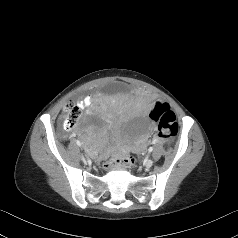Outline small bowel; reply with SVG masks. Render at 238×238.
Wrapping results in <instances>:
<instances>
[{"label": "small bowel", "mask_w": 238, "mask_h": 238, "mask_svg": "<svg viewBox=\"0 0 238 238\" xmlns=\"http://www.w3.org/2000/svg\"><path fill=\"white\" fill-rule=\"evenodd\" d=\"M78 104L80 105V107L83 108H92L94 107V101L93 98L91 96H83L79 99ZM154 105L150 106L149 108V113L151 111V109L153 108ZM144 140V136H142L141 138H139V141H143Z\"/></svg>", "instance_id": "c3829d8e"}]
</instances>
